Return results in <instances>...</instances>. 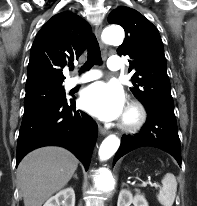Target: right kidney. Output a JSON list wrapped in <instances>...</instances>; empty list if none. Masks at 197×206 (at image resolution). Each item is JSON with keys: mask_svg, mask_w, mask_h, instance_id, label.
<instances>
[{"mask_svg": "<svg viewBox=\"0 0 197 206\" xmlns=\"http://www.w3.org/2000/svg\"><path fill=\"white\" fill-rule=\"evenodd\" d=\"M75 206V192L69 187L59 191L55 196L48 199L43 206Z\"/></svg>", "mask_w": 197, "mask_h": 206, "instance_id": "right-kidney-1", "label": "right kidney"}]
</instances>
